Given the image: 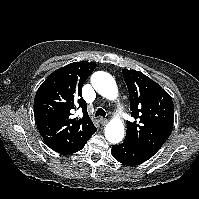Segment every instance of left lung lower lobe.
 I'll return each instance as SVG.
<instances>
[{"mask_svg": "<svg viewBox=\"0 0 199 199\" xmlns=\"http://www.w3.org/2000/svg\"><path fill=\"white\" fill-rule=\"evenodd\" d=\"M112 155L117 161L129 166L141 164L153 156V154L127 140L113 146Z\"/></svg>", "mask_w": 199, "mask_h": 199, "instance_id": "obj_1", "label": "left lung lower lobe"}]
</instances>
